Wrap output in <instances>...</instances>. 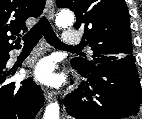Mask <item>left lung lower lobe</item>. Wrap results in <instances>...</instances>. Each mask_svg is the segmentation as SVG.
I'll return each mask as SVG.
<instances>
[{"instance_id": "obj_1", "label": "left lung lower lobe", "mask_w": 142, "mask_h": 119, "mask_svg": "<svg viewBox=\"0 0 142 119\" xmlns=\"http://www.w3.org/2000/svg\"><path fill=\"white\" fill-rule=\"evenodd\" d=\"M78 72L88 80L64 100L72 117L122 119L139 115L142 89L135 60H113Z\"/></svg>"}]
</instances>
